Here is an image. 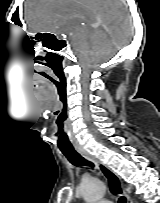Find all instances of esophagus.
I'll list each match as a JSON object with an SVG mask.
<instances>
[{
  "label": "esophagus",
  "instance_id": "esophagus-1",
  "mask_svg": "<svg viewBox=\"0 0 160 203\" xmlns=\"http://www.w3.org/2000/svg\"><path fill=\"white\" fill-rule=\"evenodd\" d=\"M77 151L95 164L98 171L104 176V178L108 182L109 190L111 191V193L115 195L122 194L126 199V203H133L121 179L116 173H114L108 166L100 162L96 157L89 154L85 149L78 148Z\"/></svg>",
  "mask_w": 160,
  "mask_h": 203
}]
</instances>
